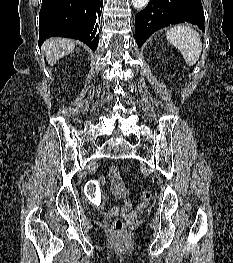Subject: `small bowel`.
Here are the masks:
<instances>
[{
    "instance_id": "small-bowel-1",
    "label": "small bowel",
    "mask_w": 233,
    "mask_h": 263,
    "mask_svg": "<svg viewBox=\"0 0 233 263\" xmlns=\"http://www.w3.org/2000/svg\"><path fill=\"white\" fill-rule=\"evenodd\" d=\"M110 180H111V192L118 198L123 200V204L120 207H114L109 211L110 215L117 214L118 212H127L131 208V202L128 199V189L123 181L120 171L117 166H112L110 169ZM98 182L101 184L104 182V178L100 177ZM108 197L106 194H102L100 202H95V205L100 209L104 210L107 203Z\"/></svg>"
}]
</instances>
